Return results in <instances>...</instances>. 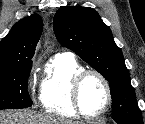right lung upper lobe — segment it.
Segmentation results:
<instances>
[{
  "label": "right lung upper lobe",
  "instance_id": "obj_1",
  "mask_svg": "<svg viewBox=\"0 0 145 124\" xmlns=\"http://www.w3.org/2000/svg\"><path fill=\"white\" fill-rule=\"evenodd\" d=\"M43 22L38 14L17 22L0 42V67H13L32 61Z\"/></svg>",
  "mask_w": 145,
  "mask_h": 124
}]
</instances>
